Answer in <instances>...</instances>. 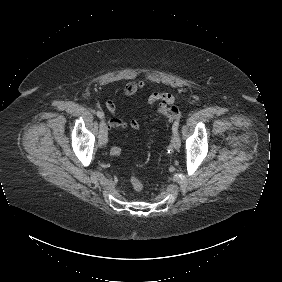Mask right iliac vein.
<instances>
[{"mask_svg":"<svg viewBox=\"0 0 282 282\" xmlns=\"http://www.w3.org/2000/svg\"><path fill=\"white\" fill-rule=\"evenodd\" d=\"M99 141L102 145H105L108 141L107 125L104 120H101L99 125Z\"/></svg>","mask_w":282,"mask_h":282,"instance_id":"63e3f726","label":"right iliac vein"}]
</instances>
